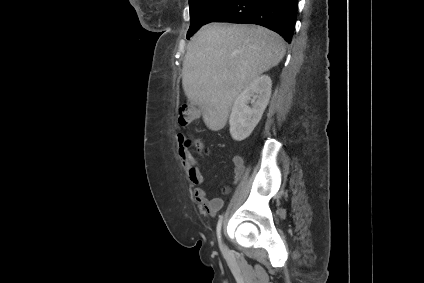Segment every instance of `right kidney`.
I'll return each instance as SVG.
<instances>
[{
	"instance_id": "obj_1",
	"label": "right kidney",
	"mask_w": 424,
	"mask_h": 283,
	"mask_svg": "<svg viewBox=\"0 0 424 283\" xmlns=\"http://www.w3.org/2000/svg\"><path fill=\"white\" fill-rule=\"evenodd\" d=\"M271 87L270 77L261 75L235 99L229 118L230 134L234 140L242 141L250 136L269 102Z\"/></svg>"
}]
</instances>
